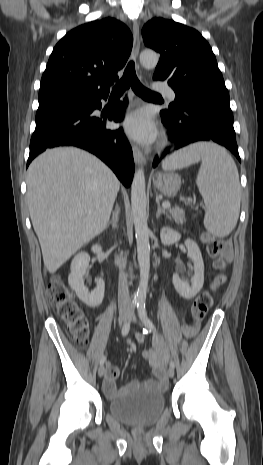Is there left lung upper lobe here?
I'll use <instances>...</instances> for the list:
<instances>
[{"mask_svg": "<svg viewBox=\"0 0 263 465\" xmlns=\"http://www.w3.org/2000/svg\"><path fill=\"white\" fill-rule=\"evenodd\" d=\"M142 35L145 45L161 54L153 78L167 81L175 91L169 110L185 102L229 104L215 55L198 31L173 20L153 18L144 25Z\"/></svg>", "mask_w": 263, "mask_h": 465, "instance_id": "5c2ea615", "label": "left lung upper lobe"}]
</instances>
